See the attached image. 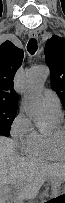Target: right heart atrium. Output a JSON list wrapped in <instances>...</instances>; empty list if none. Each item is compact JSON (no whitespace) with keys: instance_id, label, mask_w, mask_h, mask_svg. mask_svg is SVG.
<instances>
[{"instance_id":"right-heart-atrium-1","label":"right heart atrium","mask_w":65,"mask_h":203,"mask_svg":"<svg viewBox=\"0 0 65 203\" xmlns=\"http://www.w3.org/2000/svg\"><path fill=\"white\" fill-rule=\"evenodd\" d=\"M11 135L15 139L18 147L29 148L37 137L31 117L24 113L19 114L12 124Z\"/></svg>"}]
</instances>
